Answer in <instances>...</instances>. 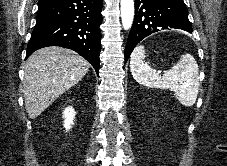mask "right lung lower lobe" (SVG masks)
Masks as SVG:
<instances>
[{
  "label": "right lung lower lobe",
  "mask_w": 227,
  "mask_h": 166,
  "mask_svg": "<svg viewBox=\"0 0 227 166\" xmlns=\"http://www.w3.org/2000/svg\"><path fill=\"white\" fill-rule=\"evenodd\" d=\"M102 0H53L39 5L26 58L34 51L60 46L79 53L99 72Z\"/></svg>",
  "instance_id": "1"
}]
</instances>
